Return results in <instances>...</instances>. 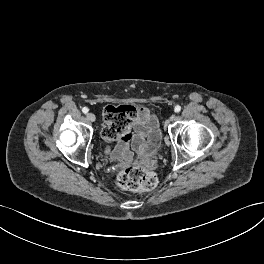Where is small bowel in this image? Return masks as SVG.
I'll return each instance as SVG.
<instances>
[{"mask_svg":"<svg viewBox=\"0 0 264 264\" xmlns=\"http://www.w3.org/2000/svg\"><path fill=\"white\" fill-rule=\"evenodd\" d=\"M106 124L104 120L103 127ZM131 130L117 140L116 145L110 153L115 160H121L125 164L132 161L133 154L129 148L140 156L150 154L157 146L161 133L157 117L147 108L136 109ZM111 141V140H109Z\"/></svg>","mask_w":264,"mask_h":264,"instance_id":"1","label":"small bowel"}]
</instances>
